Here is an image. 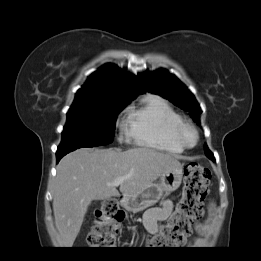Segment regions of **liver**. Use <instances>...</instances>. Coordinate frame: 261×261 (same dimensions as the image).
I'll list each match as a JSON object with an SVG mask.
<instances>
[{"instance_id": "6515ba94", "label": "liver", "mask_w": 261, "mask_h": 261, "mask_svg": "<svg viewBox=\"0 0 261 261\" xmlns=\"http://www.w3.org/2000/svg\"><path fill=\"white\" fill-rule=\"evenodd\" d=\"M179 165L176 157L149 148H81L67 154L57 166L53 189L59 246L72 247L93 200L119 196L116 186L109 185L116 178L129 176L119 190L134 195Z\"/></svg>"}]
</instances>
